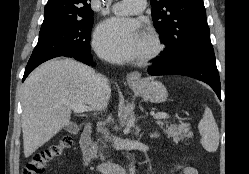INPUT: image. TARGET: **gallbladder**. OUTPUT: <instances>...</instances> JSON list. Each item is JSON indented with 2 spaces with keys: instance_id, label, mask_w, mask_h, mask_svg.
I'll return each instance as SVG.
<instances>
[{
  "instance_id": "gallbladder-1",
  "label": "gallbladder",
  "mask_w": 249,
  "mask_h": 174,
  "mask_svg": "<svg viewBox=\"0 0 249 174\" xmlns=\"http://www.w3.org/2000/svg\"><path fill=\"white\" fill-rule=\"evenodd\" d=\"M69 132H74L78 130V126L75 123H71L67 126Z\"/></svg>"
}]
</instances>
